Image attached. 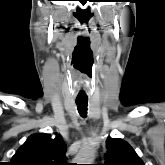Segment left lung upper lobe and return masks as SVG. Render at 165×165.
Returning <instances> with one entry per match:
<instances>
[{
    "mask_svg": "<svg viewBox=\"0 0 165 165\" xmlns=\"http://www.w3.org/2000/svg\"><path fill=\"white\" fill-rule=\"evenodd\" d=\"M103 165H144L133 148L122 139L107 138Z\"/></svg>",
    "mask_w": 165,
    "mask_h": 165,
    "instance_id": "1",
    "label": "left lung upper lobe"
}]
</instances>
